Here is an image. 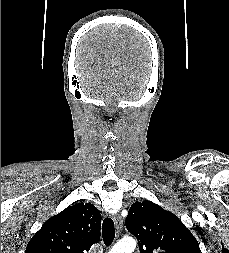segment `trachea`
Segmentation results:
<instances>
[{"label":"trachea","mask_w":229,"mask_h":253,"mask_svg":"<svg viewBox=\"0 0 229 253\" xmlns=\"http://www.w3.org/2000/svg\"><path fill=\"white\" fill-rule=\"evenodd\" d=\"M103 241L106 246H109L115 237L114 222L111 218H105L102 225Z\"/></svg>","instance_id":"trachea-1"}]
</instances>
